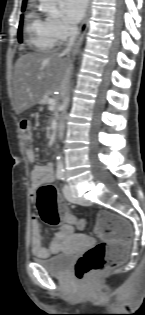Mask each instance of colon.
Wrapping results in <instances>:
<instances>
[{"label":"colon","mask_w":145,"mask_h":315,"mask_svg":"<svg viewBox=\"0 0 145 315\" xmlns=\"http://www.w3.org/2000/svg\"><path fill=\"white\" fill-rule=\"evenodd\" d=\"M22 141L29 146L32 140V125L24 118L20 121ZM37 206L41 219L48 225H58L62 221L84 227V222L72 217L56 188L45 184L38 189ZM95 233L101 242L87 250L76 262L75 275L78 279L90 281L99 274L118 266L124 259L126 247L132 238L128 221L109 210L97 215Z\"/></svg>","instance_id":"5ec220e1"}]
</instances>
